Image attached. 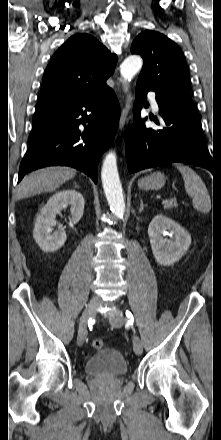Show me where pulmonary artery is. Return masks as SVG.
Wrapping results in <instances>:
<instances>
[{
  "label": "pulmonary artery",
  "instance_id": "obj_1",
  "mask_svg": "<svg viewBox=\"0 0 221 440\" xmlns=\"http://www.w3.org/2000/svg\"><path fill=\"white\" fill-rule=\"evenodd\" d=\"M149 99L151 101V106L153 108L154 111L158 112L159 111V106L158 103L156 101L155 95L153 92L149 93Z\"/></svg>",
  "mask_w": 221,
  "mask_h": 440
}]
</instances>
